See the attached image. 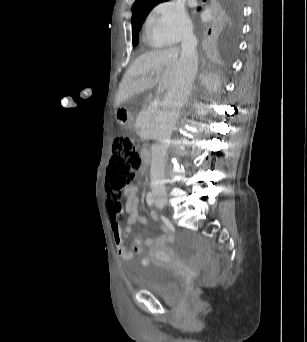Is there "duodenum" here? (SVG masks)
Returning <instances> with one entry per match:
<instances>
[{"instance_id":"410a0bca","label":"duodenum","mask_w":307,"mask_h":342,"mask_svg":"<svg viewBox=\"0 0 307 342\" xmlns=\"http://www.w3.org/2000/svg\"><path fill=\"white\" fill-rule=\"evenodd\" d=\"M141 158L143 160V164L145 167H148L150 165L151 161V152L147 148L141 149Z\"/></svg>"}]
</instances>
